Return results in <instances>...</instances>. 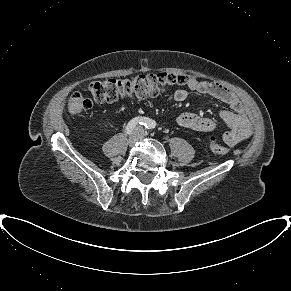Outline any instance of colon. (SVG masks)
<instances>
[{"label": "colon", "instance_id": "colon-1", "mask_svg": "<svg viewBox=\"0 0 291 291\" xmlns=\"http://www.w3.org/2000/svg\"><path fill=\"white\" fill-rule=\"evenodd\" d=\"M193 81L201 82L187 75L161 72L125 79L109 78L95 81L86 87L85 92L96 102L113 103L124 98L156 97L173 87L189 86ZM92 106V100L81 93H75L67 103L71 114L89 110ZM207 147L218 155H227L230 152L229 148L219 144L214 136L208 138Z\"/></svg>", "mask_w": 291, "mask_h": 291}]
</instances>
